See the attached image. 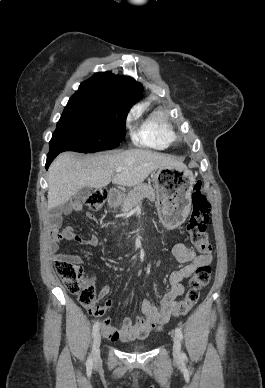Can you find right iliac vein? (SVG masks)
I'll return each mask as SVG.
<instances>
[{"mask_svg": "<svg viewBox=\"0 0 265 388\" xmlns=\"http://www.w3.org/2000/svg\"><path fill=\"white\" fill-rule=\"evenodd\" d=\"M100 344H101V334L97 332V334L94 337V341L92 345V356L95 362H97L100 359Z\"/></svg>", "mask_w": 265, "mask_h": 388, "instance_id": "obj_1", "label": "right iliac vein"}]
</instances>
